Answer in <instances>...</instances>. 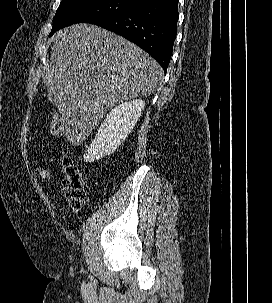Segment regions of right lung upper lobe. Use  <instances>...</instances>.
Returning <instances> with one entry per match:
<instances>
[{"label":"right lung upper lobe","mask_w":272,"mask_h":303,"mask_svg":"<svg viewBox=\"0 0 272 303\" xmlns=\"http://www.w3.org/2000/svg\"><path fill=\"white\" fill-rule=\"evenodd\" d=\"M136 3H138V4H140V3H143V2H145V1H147V0H134Z\"/></svg>","instance_id":"right-lung-upper-lobe-1"}]
</instances>
